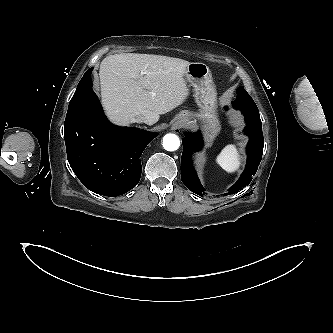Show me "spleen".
<instances>
[{"mask_svg": "<svg viewBox=\"0 0 333 333\" xmlns=\"http://www.w3.org/2000/svg\"><path fill=\"white\" fill-rule=\"evenodd\" d=\"M216 162L228 173L236 172L240 167V155L234 144L226 145L217 156Z\"/></svg>", "mask_w": 333, "mask_h": 333, "instance_id": "1", "label": "spleen"}]
</instances>
